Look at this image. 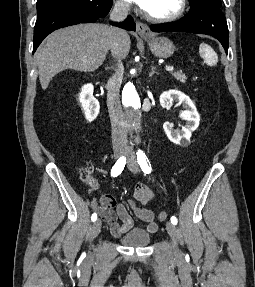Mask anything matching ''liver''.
Wrapping results in <instances>:
<instances>
[{
    "instance_id": "1",
    "label": "liver",
    "mask_w": 255,
    "mask_h": 287,
    "mask_svg": "<svg viewBox=\"0 0 255 287\" xmlns=\"http://www.w3.org/2000/svg\"><path fill=\"white\" fill-rule=\"evenodd\" d=\"M111 28L105 24H79L50 34L35 54L42 90L62 70L94 72L102 66L109 50ZM131 42L127 32L119 38L121 60L129 54Z\"/></svg>"
}]
</instances>
